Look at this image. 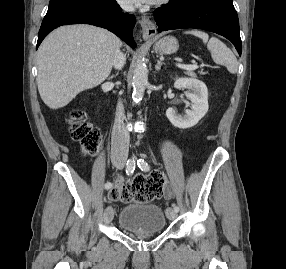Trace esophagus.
Instances as JSON below:
<instances>
[{"label": "esophagus", "mask_w": 286, "mask_h": 269, "mask_svg": "<svg viewBox=\"0 0 286 269\" xmlns=\"http://www.w3.org/2000/svg\"><path fill=\"white\" fill-rule=\"evenodd\" d=\"M140 25L143 39H150L156 34V26L149 18L145 16L142 17L140 19Z\"/></svg>", "instance_id": "34e87169"}]
</instances>
